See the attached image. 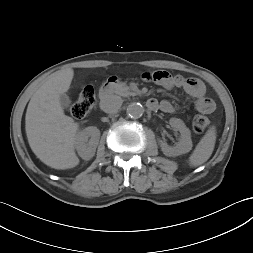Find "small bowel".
Here are the masks:
<instances>
[{
  "label": "small bowel",
  "instance_id": "1",
  "mask_svg": "<svg viewBox=\"0 0 253 253\" xmlns=\"http://www.w3.org/2000/svg\"><path fill=\"white\" fill-rule=\"evenodd\" d=\"M143 78L147 81H154L167 90L173 87L183 89L194 99L195 108L200 113L210 114L215 109L214 101L206 96V87L199 79L185 78L180 75L173 76L166 71L147 72L143 74ZM158 108L165 113H172L175 110L174 105L168 100L159 102Z\"/></svg>",
  "mask_w": 253,
  "mask_h": 253
}]
</instances>
